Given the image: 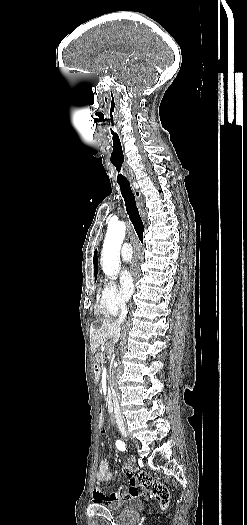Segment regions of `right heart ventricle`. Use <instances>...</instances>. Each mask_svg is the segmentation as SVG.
Returning <instances> with one entry per match:
<instances>
[{
	"label": "right heart ventricle",
	"mask_w": 247,
	"mask_h": 525,
	"mask_svg": "<svg viewBox=\"0 0 247 525\" xmlns=\"http://www.w3.org/2000/svg\"><path fill=\"white\" fill-rule=\"evenodd\" d=\"M118 313L109 311L104 305L99 302L95 305V316L96 317H115Z\"/></svg>",
	"instance_id": "right-heart-ventricle-1"
}]
</instances>
